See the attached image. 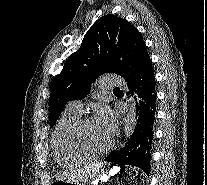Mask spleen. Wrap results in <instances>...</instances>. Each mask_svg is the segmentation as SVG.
<instances>
[{"label":"spleen","mask_w":207,"mask_h":185,"mask_svg":"<svg viewBox=\"0 0 207 185\" xmlns=\"http://www.w3.org/2000/svg\"><path fill=\"white\" fill-rule=\"evenodd\" d=\"M127 171H140V166H127ZM135 176L139 177L140 173L136 172Z\"/></svg>","instance_id":"3e777b00"}]
</instances>
